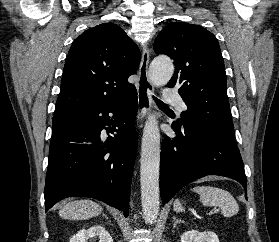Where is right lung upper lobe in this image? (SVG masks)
<instances>
[{
	"mask_svg": "<svg viewBox=\"0 0 279 242\" xmlns=\"http://www.w3.org/2000/svg\"><path fill=\"white\" fill-rule=\"evenodd\" d=\"M139 63L138 47L116 24L86 30L68 52L53 118L125 100L136 91L128 77Z\"/></svg>",
	"mask_w": 279,
	"mask_h": 242,
	"instance_id": "1",
	"label": "right lung upper lobe"
}]
</instances>
